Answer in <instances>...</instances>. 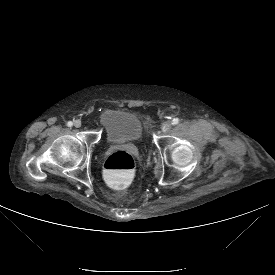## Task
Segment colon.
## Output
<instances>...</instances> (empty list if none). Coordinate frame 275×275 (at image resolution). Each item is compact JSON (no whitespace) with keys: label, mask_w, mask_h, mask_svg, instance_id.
Returning a JSON list of instances; mask_svg holds the SVG:
<instances>
[{"label":"colon","mask_w":275,"mask_h":275,"mask_svg":"<svg viewBox=\"0 0 275 275\" xmlns=\"http://www.w3.org/2000/svg\"><path fill=\"white\" fill-rule=\"evenodd\" d=\"M135 175V161L131 154L120 150L109 155L104 162V176L113 186H128Z\"/></svg>","instance_id":"5ec220e1"}]
</instances>
